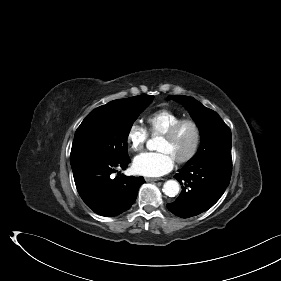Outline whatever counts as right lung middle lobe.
I'll list each match as a JSON object with an SVG mask.
<instances>
[{
	"label": "right lung middle lobe",
	"instance_id": "right-lung-middle-lobe-1",
	"mask_svg": "<svg viewBox=\"0 0 281 281\" xmlns=\"http://www.w3.org/2000/svg\"><path fill=\"white\" fill-rule=\"evenodd\" d=\"M153 98L140 95L119 99L115 104H106L90 112L76 130L71 166L128 158L127 138L132 124Z\"/></svg>",
	"mask_w": 281,
	"mask_h": 281
}]
</instances>
